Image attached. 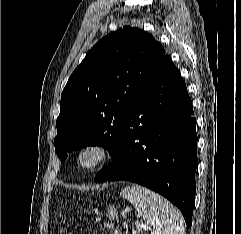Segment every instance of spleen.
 Masks as SVG:
<instances>
[{
    "label": "spleen",
    "instance_id": "spleen-1",
    "mask_svg": "<svg viewBox=\"0 0 241 234\" xmlns=\"http://www.w3.org/2000/svg\"><path fill=\"white\" fill-rule=\"evenodd\" d=\"M120 194L152 226L151 234H185L182 215L158 193L133 184L122 189Z\"/></svg>",
    "mask_w": 241,
    "mask_h": 234
}]
</instances>
